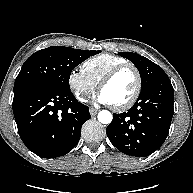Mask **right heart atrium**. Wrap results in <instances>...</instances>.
I'll return each mask as SVG.
<instances>
[{
    "instance_id": "right-heart-atrium-1",
    "label": "right heart atrium",
    "mask_w": 193,
    "mask_h": 193,
    "mask_svg": "<svg viewBox=\"0 0 193 193\" xmlns=\"http://www.w3.org/2000/svg\"><path fill=\"white\" fill-rule=\"evenodd\" d=\"M67 81L75 98L81 103L86 102L95 92L96 85L80 70L73 69L69 73Z\"/></svg>"
}]
</instances>
